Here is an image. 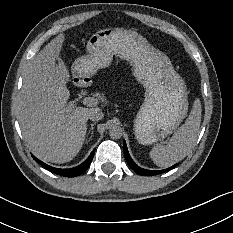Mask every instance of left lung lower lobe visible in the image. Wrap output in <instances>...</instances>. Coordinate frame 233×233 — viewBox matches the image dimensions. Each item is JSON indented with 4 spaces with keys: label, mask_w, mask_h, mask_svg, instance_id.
<instances>
[{
    "label": "left lung lower lobe",
    "mask_w": 233,
    "mask_h": 233,
    "mask_svg": "<svg viewBox=\"0 0 233 233\" xmlns=\"http://www.w3.org/2000/svg\"><path fill=\"white\" fill-rule=\"evenodd\" d=\"M123 150H124V156L127 160V163L129 164V166L138 174L140 175H144V176H152V175H157V174H161L164 172H167L169 170H171L172 168H174L176 165H173L170 168L164 169V170H160V171H152V170H146V169H142L139 166H137L134 161L131 159L128 150H127V146L126 143L124 141L123 143Z\"/></svg>",
    "instance_id": "left-lung-lower-lobe-1"
}]
</instances>
